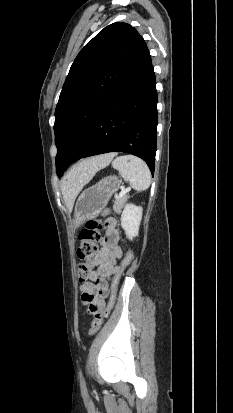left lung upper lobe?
I'll use <instances>...</instances> for the list:
<instances>
[{
    "mask_svg": "<svg viewBox=\"0 0 233 413\" xmlns=\"http://www.w3.org/2000/svg\"><path fill=\"white\" fill-rule=\"evenodd\" d=\"M143 43L134 27L118 22L102 29L77 55L55 110L58 176L70 164Z\"/></svg>",
    "mask_w": 233,
    "mask_h": 413,
    "instance_id": "obj_1",
    "label": "left lung upper lobe"
}]
</instances>
